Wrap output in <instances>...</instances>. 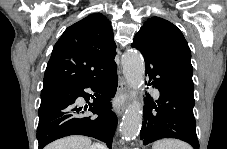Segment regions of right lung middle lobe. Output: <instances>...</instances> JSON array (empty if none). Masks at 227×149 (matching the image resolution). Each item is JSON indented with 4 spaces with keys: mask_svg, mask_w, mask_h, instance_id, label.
Segmentation results:
<instances>
[{
    "mask_svg": "<svg viewBox=\"0 0 227 149\" xmlns=\"http://www.w3.org/2000/svg\"><path fill=\"white\" fill-rule=\"evenodd\" d=\"M68 87H52V88H47V89H42L41 91V105L47 103L49 100L52 98L66 93Z\"/></svg>",
    "mask_w": 227,
    "mask_h": 149,
    "instance_id": "1",
    "label": "right lung middle lobe"
}]
</instances>
